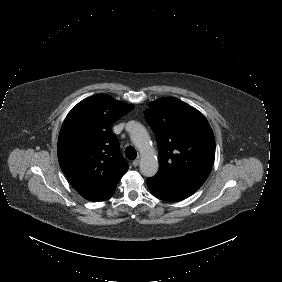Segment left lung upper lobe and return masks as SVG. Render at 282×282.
<instances>
[{
  "instance_id": "5c2ea615",
  "label": "left lung upper lobe",
  "mask_w": 282,
  "mask_h": 282,
  "mask_svg": "<svg viewBox=\"0 0 282 282\" xmlns=\"http://www.w3.org/2000/svg\"><path fill=\"white\" fill-rule=\"evenodd\" d=\"M145 119L157 138L158 174L207 179L215 158V138L198 110L165 97L149 103Z\"/></svg>"
}]
</instances>
